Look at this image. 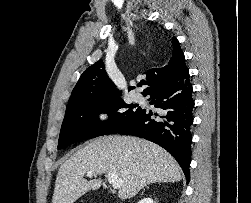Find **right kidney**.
I'll return each mask as SVG.
<instances>
[{"label": "right kidney", "mask_w": 251, "mask_h": 203, "mask_svg": "<svg viewBox=\"0 0 251 203\" xmlns=\"http://www.w3.org/2000/svg\"><path fill=\"white\" fill-rule=\"evenodd\" d=\"M138 203H155L151 198H144L140 200Z\"/></svg>", "instance_id": "ca27d5eb"}]
</instances>
